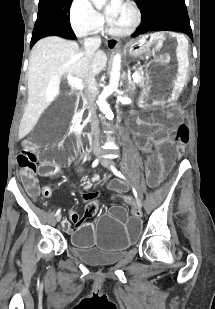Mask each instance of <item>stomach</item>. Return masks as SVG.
<instances>
[{"mask_svg":"<svg viewBox=\"0 0 215 309\" xmlns=\"http://www.w3.org/2000/svg\"><path fill=\"white\" fill-rule=\"evenodd\" d=\"M135 59L152 54L145 66L144 94L153 100H172L182 91L189 70L188 40L177 32H156L132 39L125 46Z\"/></svg>","mask_w":215,"mask_h":309,"instance_id":"obj_1","label":"stomach"}]
</instances>
